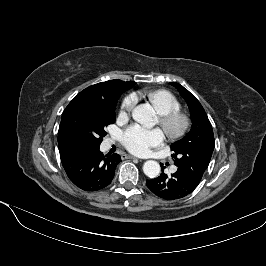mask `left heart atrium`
<instances>
[{
    "label": "left heart atrium",
    "mask_w": 266,
    "mask_h": 266,
    "mask_svg": "<svg viewBox=\"0 0 266 266\" xmlns=\"http://www.w3.org/2000/svg\"><path fill=\"white\" fill-rule=\"evenodd\" d=\"M165 140L162 130L147 129L138 124L129 126L123 133L126 148L136 155H146L152 148L159 147Z\"/></svg>",
    "instance_id": "39dd6f15"
}]
</instances>
